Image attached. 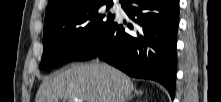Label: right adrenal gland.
<instances>
[{
  "label": "right adrenal gland",
  "instance_id": "obj_1",
  "mask_svg": "<svg viewBox=\"0 0 221 102\" xmlns=\"http://www.w3.org/2000/svg\"><path fill=\"white\" fill-rule=\"evenodd\" d=\"M142 92L141 91H137V90H134V95H131L129 98L126 99V102H129V100H131L133 98V96L135 95H141Z\"/></svg>",
  "mask_w": 221,
  "mask_h": 102
}]
</instances>
